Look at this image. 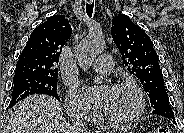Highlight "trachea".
I'll list each match as a JSON object with an SVG mask.
<instances>
[{
    "mask_svg": "<svg viewBox=\"0 0 184 133\" xmlns=\"http://www.w3.org/2000/svg\"><path fill=\"white\" fill-rule=\"evenodd\" d=\"M93 8H94V1L92 3L86 4V13H87L88 17H92Z\"/></svg>",
    "mask_w": 184,
    "mask_h": 133,
    "instance_id": "obj_1",
    "label": "trachea"
}]
</instances>
